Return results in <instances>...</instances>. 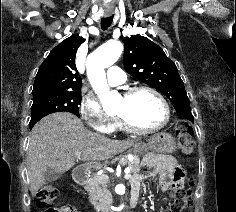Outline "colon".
<instances>
[{
    "mask_svg": "<svg viewBox=\"0 0 236 212\" xmlns=\"http://www.w3.org/2000/svg\"><path fill=\"white\" fill-rule=\"evenodd\" d=\"M176 136L179 141V148L184 156H191L194 151V143L192 141V128L185 120H178L175 125ZM191 187L184 192H181V184L178 182H171L172 194L170 199L172 200V212H181L186 209H190L193 205L192 199V186L193 182H190ZM58 196V189L55 185H45L38 193L36 199V205L39 208L48 207L46 212H61L62 207H51Z\"/></svg>",
    "mask_w": 236,
    "mask_h": 212,
    "instance_id": "colon-1",
    "label": "colon"
}]
</instances>
